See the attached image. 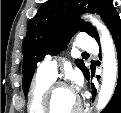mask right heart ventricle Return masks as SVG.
Wrapping results in <instances>:
<instances>
[{"label":"right heart ventricle","mask_w":121,"mask_h":113,"mask_svg":"<svg viewBox=\"0 0 121 113\" xmlns=\"http://www.w3.org/2000/svg\"><path fill=\"white\" fill-rule=\"evenodd\" d=\"M53 79L41 74H37L33 84L32 93L30 96V109H42L45 108V91L51 85Z\"/></svg>","instance_id":"1"}]
</instances>
